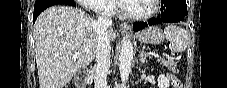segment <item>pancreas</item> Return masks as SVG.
<instances>
[{
    "label": "pancreas",
    "instance_id": "pancreas-1",
    "mask_svg": "<svg viewBox=\"0 0 227 88\" xmlns=\"http://www.w3.org/2000/svg\"><path fill=\"white\" fill-rule=\"evenodd\" d=\"M158 62L169 69L170 71L177 73L179 70L177 68V62L171 59L159 58Z\"/></svg>",
    "mask_w": 227,
    "mask_h": 88
}]
</instances>
